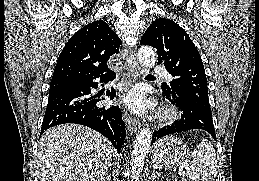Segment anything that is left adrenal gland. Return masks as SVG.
I'll return each mask as SVG.
<instances>
[{"mask_svg":"<svg viewBox=\"0 0 259 181\" xmlns=\"http://www.w3.org/2000/svg\"><path fill=\"white\" fill-rule=\"evenodd\" d=\"M157 176L159 177L161 176V174H156L155 170L153 169L151 176L152 181H155L157 179Z\"/></svg>","mask_w":259,"mask_h":181,"instance_id":"a2214340","label":"left adrenal gland"}]
</instances>
